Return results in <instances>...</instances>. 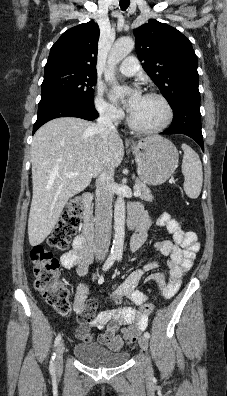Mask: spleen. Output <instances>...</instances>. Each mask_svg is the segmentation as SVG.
I'll use <instances>...</instances> for the list:
<instances>
[{"mask_svg": "<svg viewBox=\"0 0 227 396\" xmlns=\"http://www.w3.org/2000/svg\"><path fill=\"white\" fill-rule=\"evenodd\" d=\"M184 151L182 173L184 191L188 197L195 199L200 195L203 181L202 165L198 154L187 144H182Z\"/></svg>", "mask_w": 227, "mask_h": 396, "instance_id": "spleen-1", "label": "spleen"}]
</instances>
